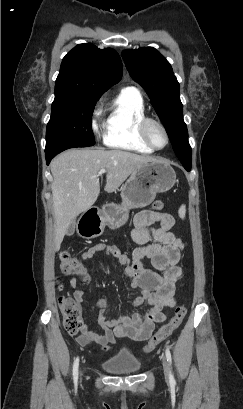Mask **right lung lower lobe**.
Here are the masks:
<instances>
[{"label": "right lung lower lobe", "instance_id": "obj_1", "mask_svg": "<svg viewBox=\"0 0 243 409\" xmlns=\"http://www.w3.org/2000/svg\"><path fill=\"white\" fill-rule=\"evenodd\" d=\"M69 148H73V147L67 146L65 144H55V145H53L51 147H47L45 149L47 165L50 163L51 159L54 156H56L58 153L66 150V149H69Z\"/></svg>", "mask_w": 243, "mask_h": 409}]
</instances>
